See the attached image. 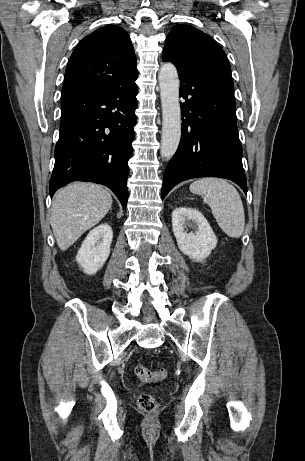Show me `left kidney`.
I'll return each mask as SVG.
<instances>
[{
  "label": "left kidney",
  "mask_w": 305,
  "mask_h": 461,
  "mask_svg": "<svg viewBox=\"0 0 305 461\" xmlns=\"http://www.w3.org/2000/svg\"><path fill=\"white\" fill-rule=\"evenodd\" d=\"M172 228L180 251L201 262L217 245V238L203 214L192 208L179 207L172 212ZM188 228L194 231L188 232Z\"/></svg>",
  "instance_id": "left-kidney-1"
}]
</instances>
